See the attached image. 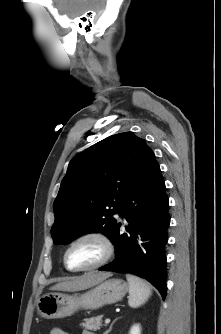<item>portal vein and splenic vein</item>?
<instances>
[{
	"label": "portal vein and splenic vein",
	"mask_w": 221,
	"mask_h": 334,
	"mask_svg": "<svg viewBox=\"0 0 221 334\" xmlns=\"http://www.w3.org/2000/svg\"><path fill=\"white\" fill-rule=\"evenodd\" d=\"M105 323L106 324L110 323V319H105Z\"/></svg>",
	"instance_id": "1"
}]
</instances>
